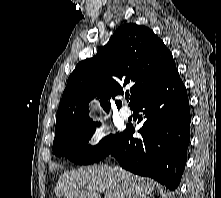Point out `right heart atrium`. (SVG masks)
<instances>
[{
  "mask_svg": "<svg viewBox=\"0 0 221 198\" xmlns=\"http://www.w3.org/2000/svg\"><path fill=\"white\" fill-rule=\"evenodd\" d=\"M108 137L106 128L101 124L91 125L85 132L84 141L90 150L101 149Z\"/></svg>",
  "mask_w": 221,
  "mask_h": 198,
  "instance_id": "1",
  "label": "right heart atrium"
}]
</instances>
